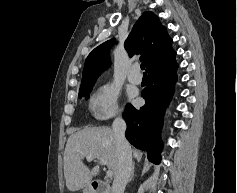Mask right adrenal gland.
<instances>
[{"mask_svg": "<svg viewBox=\"0 0 237 193\" xmlns=\"http://www.w3.org/2000/svg\"><path fill=\"white\" fill-rule=\"evenodd\" d=\"M134 169H135V163H133V165H132V171H131V175H130L128 182L132 181V179L134 177Z\"/></svg>", "mask_w": 237, "mask_h": 193, "instance_id": "right-adrenal-gland-1", "label": "right adrenal gland"}]
</instances>
